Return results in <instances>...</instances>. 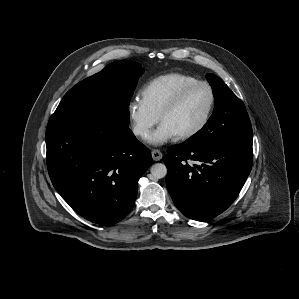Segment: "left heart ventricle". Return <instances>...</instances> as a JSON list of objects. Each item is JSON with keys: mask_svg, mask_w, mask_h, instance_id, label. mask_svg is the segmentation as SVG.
Returning <instances> with one entry per match:
<instances>
[{"mask_svg": "<svg viewBox=\"0 0 299 299\" xmlns=\"http://www.w3.org/2000/svg\"><path fill=\"white\" fill-rule=\"evenodd\" d=\"M209 105V92L204 86L191 89L181 103L163 119L178 135L196 127L203 119Z\"/></svg>", "mask_w": 299, "mask_h": 299, "instance_id": "1", "label": "left heart ventricle"}]
</instances>
